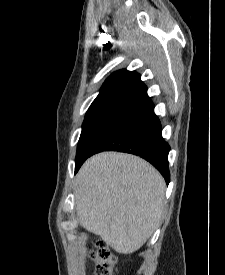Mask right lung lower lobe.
<instances>
[{
	"mask_svg": "<svg viewBox=\"0 0 225 275\" xmlns=\"http://www.w3.org/2000/svg\"><path fill=\"white\" fill-rule=\"evenodd\" d=\"M169 150L170 146L162 138V128L154 113V105H151L123 119L100 140L88 157L101 151L138 155L155 166L168 184Z\"/></svg>",
	"mask_w": 225,
	"mask_h": 275,
	"instance_id": "right-lung-lower-lobe-1",
	"label": "right lung lower lobe"
}]
</instances>
